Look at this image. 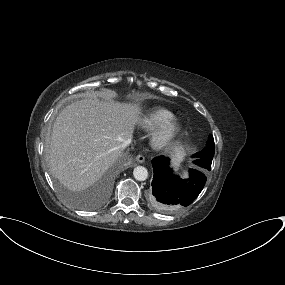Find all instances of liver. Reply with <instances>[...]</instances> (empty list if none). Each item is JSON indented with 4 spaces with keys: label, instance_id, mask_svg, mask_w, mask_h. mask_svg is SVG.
<instances>
[{
    "label": "liver",
    "instance_id": "obj_1",
    "mask_svg": "<svg viewBox=\"0 0 285 285\" xmlns=\"http://www.w3.org/2000/svg\"><path fill=\"white\" fill-rule=\"evenodd\" d=\"M144 121L138 104L119 103L109 96L71 103L53 125L47 150L51 173L70 190L88 188L114 164L122 143Z\"/></svg>",
    "mask_w": 285,
    "mask_h": 285
}]
</instances>
